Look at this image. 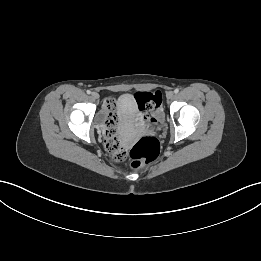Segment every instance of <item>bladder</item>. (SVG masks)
Returning a JSON list of instances; mask_svg holds the SVG:
<instances>
[{
    "label": "bladder",
    "mask_w": 261,
    "mask_h": 261,
    "mask_svg": "<svg viewBox=\"0 0 261 261\" xmlns=\"http://www.w3.org/2000/svg\"><path fill=\"white\" fill-rule=\"evenodd\" d=\"M116 111L123 124H134L137 114L134 97L129 93L121 94L116 101Z\"/></svg>",
    "instance_id": "1"
}]
</instances>
